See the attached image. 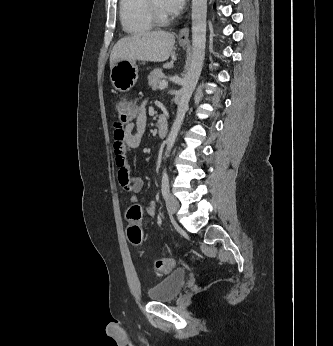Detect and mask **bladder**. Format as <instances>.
Listing matches in <instances>:
<instances>
[{"label":"bladder","mask_w":333,"mask_h":346,"mask_svg":"<svg viewBox=\"0 0 333 346\" xmlns=\"http://www.w3.org/2000/svg\"><path fill=\"white\" fill-rule=\"evenodd\" d=\"M187 278L185 270H175L148 290L153 302H168L175 299L182 290Z\"/></svg>","instance_id":"bladder-1"}]
</instances>
